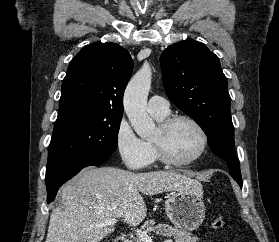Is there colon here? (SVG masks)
<instances>
[{
    "mask_svg": "<svg viewBox=\"0 0 279 242\" xmlns=\"http://www.w3.org/2000/svg\"><path fill=\"white\" fill-rule=\"evenodd\" d=\"M212 226L217 230H222L225 227V221L221 216H216L212 221Z\"/></svg>",
    "mask_w": 279,
    "mask_h": 242,
    "instance_id": "5ec220e1",
    "label": "colon"
}]
</instances>
